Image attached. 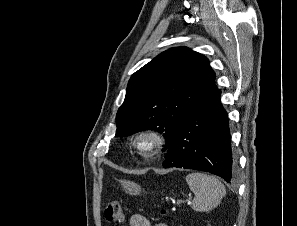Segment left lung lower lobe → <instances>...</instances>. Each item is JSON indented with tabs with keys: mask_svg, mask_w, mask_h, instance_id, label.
I'll list each match as a JSON object with an SVG mask.
<instances>
[{
	"mask_svg": "<svg viewBox=\"0 0 297 226\" xmlns=\"http://www.w3.org/2000/svg\"><path fill=\"white\" fill-rule=\"evenodd\" d=\"M217 88L206 94L181 123L166 152L164 168L196 169L218 175L228 183L235 178L227 113Z\"/></svg>",
	"mask_w": 297,
	"mask_h": 226,
	"instance_id": "0a47b994",
	"label": "left lung lower lobe"
}]
</instances>
